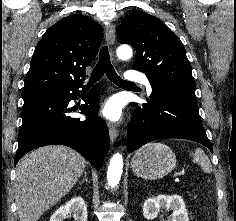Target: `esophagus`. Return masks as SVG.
<instances>
[{
	"mask_svg": "<svg viewBox=\"0 0 236 221\" xmlns=\"http://www.w3.org/2000/svg\"><path fill=\"white\" fill-rule=\"evenodd\" d=\"M106 41L110 46H113L115 43V28L112 24L106 26L105 29ZM109 136L111 142H115L118 137V131L115 126L111 123L108 124Z\"/></svg>",
	"mask_w": 236,
	"mask_h": 221,
	"instance_id": "esophagus-1",
	"label": "esophagus"
}]
</instances>
